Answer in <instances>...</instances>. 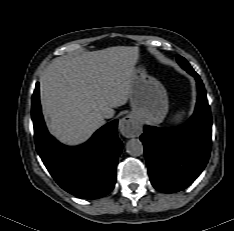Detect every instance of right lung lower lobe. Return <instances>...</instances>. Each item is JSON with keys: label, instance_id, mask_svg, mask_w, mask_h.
Masks as SVG:
<instances>
[{"label": "right lung lower lobe", "instance_id": "1", "mask_svg": "<svg viewBox=\"0 0 234 231\" xmlns=\"http://www.w3.org/2000/svg\"><path fill=\"white\" fill-rule=\"evenodd\" d=\"M31 118L37 153L62 189L82 199L101 198L113 190L123 148L117 134L118 120L102 126L83 145L65 146L48 133L41 112L38 82L31 100Z\"/></svg>", "mask_w": 234, "mask_h": 231}]
</instances>
